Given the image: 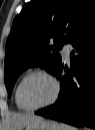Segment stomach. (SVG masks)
Instances as JSON below:
<instances>
[{"mask_svg":"<svg viewBox=\"0 0 95 130\" xmlns=\"http://www.w3.org/2000/svg\"><path fill=\"white\" fill-rule=\"evenodd\" d=\"M23 130H60V125L53 120L38 118L31 121Z\"/></svg>","mask_w":95,"mask_h":130,"instance_id":"0dacf381","label":"stomach"}]
</instances>
